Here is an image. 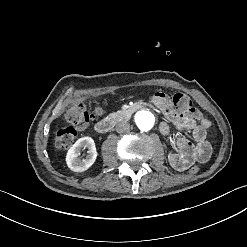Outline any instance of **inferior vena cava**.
Segmentation results:
<instances>
[{
    "mask_svg": "<svg viewBox=\"0 0 247 247\" xmlns=\"http://www.w3.org/2000/svg\"><path fill=\"white\" fill-rule=\"evenodd\" d=\"M130 129V125L127 122L121 121L119 123L116 124V131L118 133H123L126 132Z\"/></svg>",
    "mask_w": 247,
    "mask_h": 247,
    "instance_id": "obj_1",
    "label": "inferior vena cava"
}]
</instances>
